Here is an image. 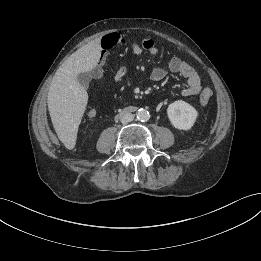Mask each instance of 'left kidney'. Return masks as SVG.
I'll return each mask as SVG.
<instances>
[{
  "label": "left kidney",
  "mask_w": 261,
  "mask_h": 261,
  "mask_svg": "<svg viewBox=\"0 0 261 261\" xmlns=\"http://www.w3.org/2000/svg\"><path fill=\"white\" fill-rule=\"evenodd\" d=\"M167 115L176 129L189 130L194 125L198 112L187 102L178 100L168 106Z\"/></svg>",
  "instance_id": "left-kidney-1"
}]
</instances>
